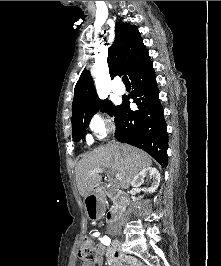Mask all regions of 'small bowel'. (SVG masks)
<instances>
[{"mask_svg":"<svg viewBox=\"0 0 221 266\" xmlns=\"http://www.w3.org/2000/svg\"><path fill=\"white\" fill-rule=\"evenodd\" d=\"M96 233L98 232H94L93 236H96ZM96 250L97 257L93 261L83 262L81 266H100L104 255L110 266H144L141 262L125 257L113 248L105 249L100 243H97Z\"/></svg>","mask_w":221,"mask_h":266,"instance_id":"1","label":"small bowel"}]
</instances>
